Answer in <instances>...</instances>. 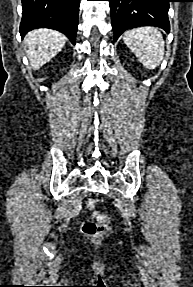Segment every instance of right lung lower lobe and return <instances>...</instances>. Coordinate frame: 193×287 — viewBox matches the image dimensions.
Listing matches in <instances>:
<instances>
[{"mask_svg":"<svg viewBox=\"0 0 193 287\" xmlns=\"http://www.w3.org/2000/svg\"><path fill=\"white\" fill-rule=\"evenodd\" d=\"M80 0H22V37L33 29L50 28L64 33L75 44Z\"/></svg>","mask_w":193,"mask_h":287,"instance_id":"1","label":"right lung lower lobe"}]
</instances>
